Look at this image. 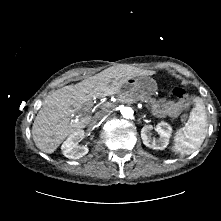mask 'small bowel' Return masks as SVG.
<instances>
[{"instance_id": "obj_1", "label": "small bowel", "mask_w": 221, "mask_h": 221, "mask_svg": "<svg viewBox=\"0 0 221 221\" xmlns=\"http://www.w3.org/2000/svg\"><path fill=\"white\" fill-rule=\"evenodd\" d=\"M188 108L182 101L161 100L154 106L157 116L177 117L179 113Z\"/></svg>"}]
</instances>
